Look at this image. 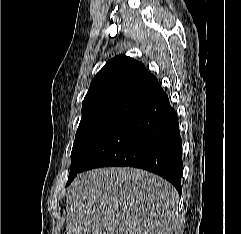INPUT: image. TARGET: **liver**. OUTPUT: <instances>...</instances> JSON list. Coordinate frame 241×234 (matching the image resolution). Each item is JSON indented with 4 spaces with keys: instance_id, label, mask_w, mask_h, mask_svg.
<instances>
[{
    "instance_id": "1",
    "label": "liver",
    "mask_w": 241,
    "mask_h": 234,
    "mask_svg": "<svg viewBox=\"0 0 241 234\" xmlns=\"http://www.w3.org/2000/svg\"><path fill=\"white\" fill-rule=\"evenodd\" d=\"M179 195L161 177L136 168L81 173L67 195L69 234H172Z\"/></svg>"
}]
</instances>
